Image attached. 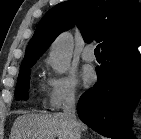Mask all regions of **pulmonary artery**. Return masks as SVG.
I'll return each mask as SVG.
<instances>
[{"mask_svg":"<svg viewBox=\"0 0 141 139\" xmlns=\"http://www.w3.org/2000/svg\"><path fill=\"white\" fill-rule=\"evenodd\" d=\"M82 58L84 61L87 62H93L95 60V55L92 46L88 45L84 48L82 52Z\"/></svg>","mask_w":141,"mask_h":139,"instance_id":"pulmonary-artery-1","label":"pulmonary artery"}]
</instances>
